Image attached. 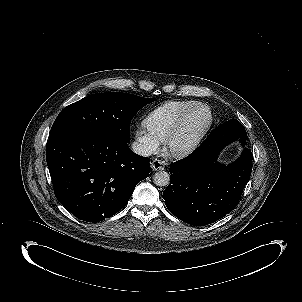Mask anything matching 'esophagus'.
<instances>
[{
  "instance_id": "1",
  "label": "esophagus",
  "mask_w": 302,
  "mask_h": 302,
  "mask_svg": "<svg viewBox=\"0 0 302 302\" xmlns=\"http://www.w3.org/2000/svg\"><path fill=\"white\" fill-rule=\"evenodd\" d=\"M164 162L159 159H154L151 162V169L153 171L163 170L164 169Z\"/></svg>"
}]
</instances>
